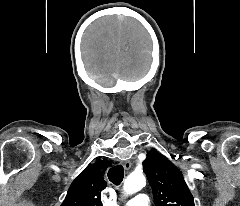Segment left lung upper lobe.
I'll use <instances>...</instances> for the list:
<instances>
[{
	"instance_id": "left-lung-upper-lobe-1",
	"label": "left lung upper lobe",
	"mask_w": 240,
	"mask_h": 206,
	"mask_svg": "<svg viewBox=\"0 0 240 206\" xmlns=\"http://www.w3.org/2000/svg\"><path fill=\"white\" fill-rule=\"evenodd\" d=\"M156 206H194L182 173L165 156L152 150L143 162Z\"/></svg>"
}]
</instances>
